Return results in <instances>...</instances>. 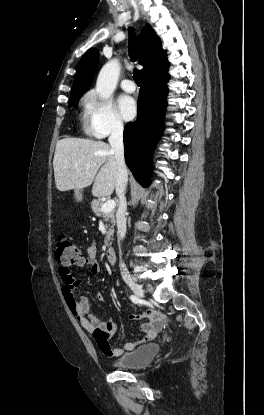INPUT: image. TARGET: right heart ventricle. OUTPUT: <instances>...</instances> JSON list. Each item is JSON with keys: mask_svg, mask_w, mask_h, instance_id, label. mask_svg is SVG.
Segmentation results:
<instances>
[{"mask_svg": "<svg viewBox=\"0 0 264 415\" xmlns=\"http://www.w3.org/2000/svg\"><path fill=\"white\" fill-rule=\"evenodd\" d=\"M84 123H85V126H87V125H88V124H87V113H86V115H85Z\"/></svg>", "mask_w": 264, "mask_h": 415, "instance_id": "1", "label": "right heart ventricle"}]
</instances>
